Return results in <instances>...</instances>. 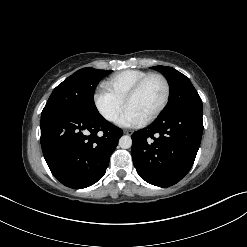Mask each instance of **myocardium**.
Masks as SVG:
<instances>
[{"instance_id": "obj_1", "label": "myocardium", "mask_w": 247, "mask_h": 247, "mask_svg": "<svg viewBox=\"0 0 247 247\" xmlns=\"http://www.w3.org/2000/svg\"><path fill=\"white\" fill-rule=\"evenodd\" d=\"M159 78L162 80L164 86H165V96L164 99L162 101V103L160 104V106L150 115L145 119V123H149L154 121L167 107L170 97H171V85L169 80L167 79V77L161 73H149L146 76H144L143 78H141L127 93L126 97H125V105L127 106L128 102L134 97L136 96L139 91L142 89V87L145 85V83L151 79V78Z\"/></svg>"}]
</instances>
